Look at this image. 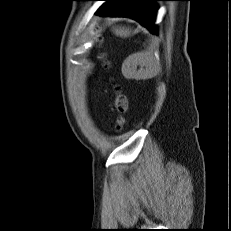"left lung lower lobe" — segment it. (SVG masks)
Wrapping results in <instances>:
<instances>
[{
  "mask_svg": "<svg viewBox=\"0 0 231 231\" xmlns=\"http://www.w3.org/2000/svg\"><path fill=\"white\" fill-rule=\"evenodd\" d=\"M109 4L97 12L99 15L127 16L140 22L152 33H157L154 25L157 8L155 1L163 0H103Z\"/></svg>",
  "mask_w": 231,
  "mask_h": 231,
  "instance_id": "0a47b994",
  "label": "left lung lower lobe"
}]
</instances>
